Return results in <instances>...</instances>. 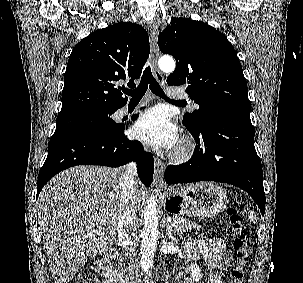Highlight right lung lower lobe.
<instances>
[{
  "label": "right lung lower lobe",
  "instance_id": "1",
  "mask_svg": "<svg viewBox=\"0 0 303 283\" xmlns=\"http://www.w3.org/2000/svg\"><path fill=\"white\" fill-rule=\"evenodd\" d=\"M125 126L112 133L72 130L54 133L48 145L47 158L39 172L37 195L57 173L76 165L119 167L137 163L138 176L145 186L153 181L154 160L138 141L124 134Z\"/></svg>",
  "mask_w": 303,
  "mask_h": 283
}]
</instances>
